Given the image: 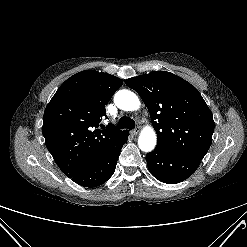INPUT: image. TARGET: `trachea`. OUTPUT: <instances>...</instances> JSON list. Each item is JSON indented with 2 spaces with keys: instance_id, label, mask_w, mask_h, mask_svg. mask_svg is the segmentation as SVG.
I'll return each mask as SVG.
<instances>
[{
  "instance_id": "3493384b",
  "label": "trachea",
  "mask_w": 247,
  "mask_h": 247,
  "mask_svg": "<svg viewBox=\"0 0 247 247\" xmlns=\"http://www.w3.org/2000/svg\"><path fill=\"white\" fill-rule=\"evenodd\" d=\"M118 127L121 129L123 128L133 129L135 127V121L130 117L123 116L120 118L118 122Z\"/></svg>"
}]
</instances>
